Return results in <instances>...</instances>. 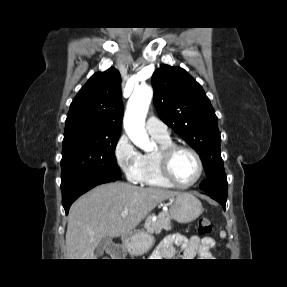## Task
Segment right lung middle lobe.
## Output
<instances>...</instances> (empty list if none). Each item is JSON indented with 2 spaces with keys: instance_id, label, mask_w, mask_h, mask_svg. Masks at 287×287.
Masks as SVG:
<instances>
[{
  "instance_id": "obj_1",
  "label": "right lung middle lobe",
  "mask_w": 287,
  "mask_h": 287,
  "mask_svg": "<svg viewBox=\"0 0 287 287\" xmlns=\"http://www.w3.org/2000/svg\"><path fill=\"white\" fill-rule=\"evenodd\" d=\"M120 132H98L77 126L64 133L61 184L78 176L104 175L121 178L115 158Z\"/></svg>"
}]
</instances>
